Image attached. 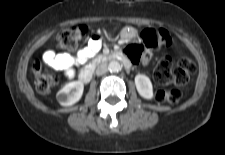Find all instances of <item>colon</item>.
Listing matches in <instances>:
<instances>
[{"label": "colon", "instance_id": "colon-1", "mask_svg": "<svg viewBox=\"0 0 225 155\" xmlns=\"http://www.w3.org/2000/svg\"><path fill=\"white\" fill-rule=\"evenodd\" d=\"M87 31L85 26H72L58 33L57 40L60 48L66 51L74 50L81 36ZM171 38L166 30L146 29L141 34V43H134L128 47V52L134 62L143 60L144 48H154L160 44L169 45ZM196 70L195 63L183 57L174 63L170 58L160 60L154 71L156 81L163 86L155 92V99L159 103L176 104L181 99V91L177 88L186 84L191 74ZM36 77V88L40 93H48L57 83V78L47 72L42 64L37 61L33 65Z\"/></svg>", "mask_w": 225, "mask_h": 155}]
</instances>
